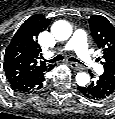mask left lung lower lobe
I'll use <instances>...</instances> for the list:
<instances>
[{"mask_svg":"<svg viewBox=\"0 0 115 119\" xmlns=\"http://www.w3.org/2000/svg\"><path fill=\"white\" fill-rule=\"evenodd\" d=\"M80 93L93 100L106 99L115 93V79L105 73L99 76L97 81H93L88 86L78 87Z\"/></svg>","mask_w":115,"mask_h":119,"instance_id":"1","label":"left lung lower lobe"}]
</instances>
